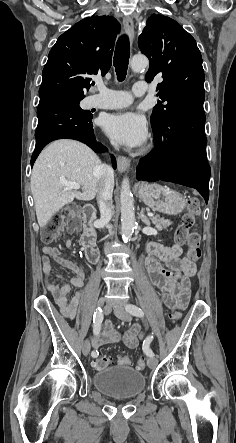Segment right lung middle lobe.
<instances>
[{"label":"right lung middle lobe","mask_w":236,"mask_h":443,"mask_svg":"<svg viewBox=\"0 0 236 443\" xmlns=\"http://www.w3.org/2000/svg\"><path fill=\"white\" fill-rule=\"evenodd\" d=\"M60 96L69 100V101H72L81 112L88 113V111L82 110L79 107V101L82 100L84 98V96L66 95V94H61Z\"/></svg>","instance_id":"dd1d6c3e"}]
</instances>
